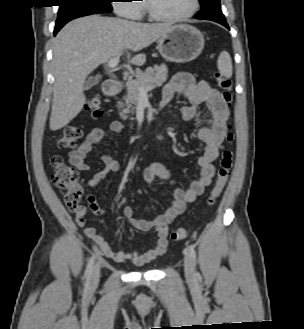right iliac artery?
Returning <instances> with one entry per match:
<instances>
[{
	"mask_svg": "<svg viewBox=\"0 0 304 329\" xmlns=\"http://www.w3.org/2000/svg\"><path fill=\"white\" fill-rule=\"evenodd\" d=\"M95 259L94 257H91L88 261L86 271H85V277L89 280L92 274L93 266H94Z\"/></svg>",
	"mask_w": 304,
	"mask_h": 329,
	"instance_id": "obj_1",
	"label": "right iliac artery"
}]
</instances>
